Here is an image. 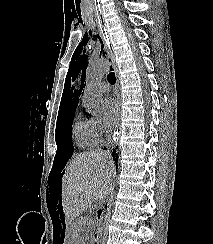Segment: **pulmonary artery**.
Listing matches in <instances>:
<instances>
[{"mask_svg":"<svg viewBox=\"0 0 213 244\" xmlns=\"http://www.w3.org/2000/svg\"><path fill=\"white\" fill-rule=\"evenodd\" d=\"M99 88L102 93H108L110 91V85L106 82L100 83Z\"/></svg>","mask_w":213,"mask_h":244,"instance_id":"1","label":"pulmonary artery"}]
</instances>
